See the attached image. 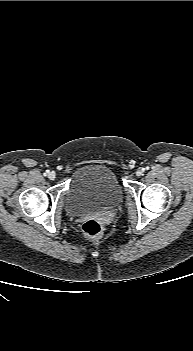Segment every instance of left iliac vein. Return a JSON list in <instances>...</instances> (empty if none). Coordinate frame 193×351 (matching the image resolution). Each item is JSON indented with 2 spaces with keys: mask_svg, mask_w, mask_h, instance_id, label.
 Listing matches in <instances>:
<instances>
[{
  "mask_svg": "<svg viewBox=\"0 0 193 351\" xmlns=\"http://www.w3.org/2000/svg\"><path fill=\"white\" fill-rule=\"evenodd\" d=\"M143 174V171L141 170V169H138L137 171H136V175L137 176H141Z\"/></svg>",
  "mask_w": 193,
  "mask_h": 351,
  "instance_id": "4c4485c4",
  "label": "left iliac vein"
}]
</instances>
